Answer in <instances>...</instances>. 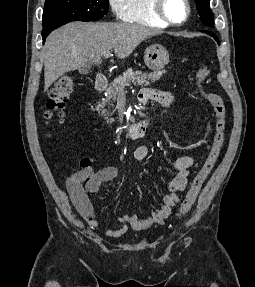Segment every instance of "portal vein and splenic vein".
<instances>
[{
    "mask_svg": "<svg viewBox=\"0 0 255 287\" xmlns=\"http://www.w3.org/2000/svg\"><path fill=\"white\" fill-rule=\"evenodd\" d=\"M104 58H110L111 54L110 52H106V54H103ZM125 86H129V84H125Z\"/></svg>",
    "mask_w": 255,
    "mask_h": 287,
    "instance_id": "1",
    "label": "portal vein and splenic vein"
}]
</instances>
